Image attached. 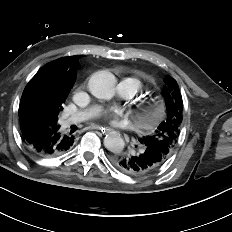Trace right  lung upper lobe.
<instances>
[{
    "label": "right lung upper lobe",
    "instance_id": "obj_1",
    "mask_svg": "<svg viewBox=\"0 0 232 232\" xmlns=\"http://www.w3.org/2000/svg\"><path fill=\"white\" fill-rule=\"evenodd\" d=\"M79 57L77 55L60 58L43 66L25 87L21 101L29 96H37V89L44 86L53 89L56 94L66 99L76 80ZM26 116L31 117L33 122L38 123L40 127L45 125L51 129L57 127L51 125V122L40 114L36 106L30 107Z\"/></svg>",
    "mask_w": 232,
    "mask_h": 232
}]
</instances>
